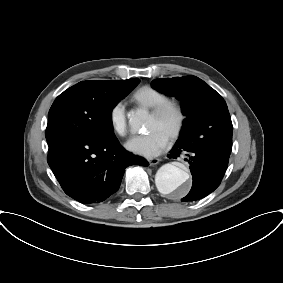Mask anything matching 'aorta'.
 Masks as SVG:
<instances>
[{
  "label": "aorta",
  "instance_id": "obj_1",
  "mask_svg": "<svg viewBox=\"0 0 283 283\" xmlns=\"http://www.w3.org/2000/svg\"><path fill=\"white\" fill-rule=\"evenodd\" d=\"M147 113L136 111L129 114V125L134 130H139ZM189 173L186 168L175 164H165L159 168L155 176L158 191L164 195L182 196L188 189Z\"/></svg>",
  "mask_w": 283,
  "mask_h": 283
}]
</instances>
